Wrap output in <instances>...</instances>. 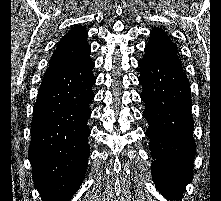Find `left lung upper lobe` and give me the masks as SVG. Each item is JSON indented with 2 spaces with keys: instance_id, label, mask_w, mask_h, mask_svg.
Wrapping results in <instances>:
<instances>
[{
  "instance_id": "obj_1",
  "label": "left lung upper lobe",
  "mask_w": 221,
  "mask_h": 201,
  "mask_svg": "<svg viewBox=\"0 0 221 201\" xmlns=\"http://www.w3.org/2000/svg\"><path fill=\"white\" fill-rule=\"evenodd\" d=\"M144 56L182 69L177 54V46L161 28H155L151 31L149 42L145 46Z\"/></svg>"
}]
</instances>
